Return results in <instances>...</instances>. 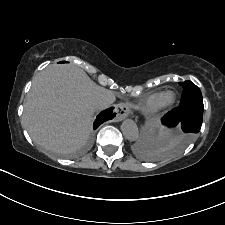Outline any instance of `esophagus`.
<instances>
[{"instance_id":"esophagus-1","label":"esophagus","mask_w":225,"mask_h":225,"mask_svg":"<svg viewBox=\"0 0 225 225\" xmlns=\"http://www.w3.org/2000/svg\"><path fill=\"white\" fill-rule=\"evenodd\" d=\"M116 112H117L116 120L121 121L129 115L130 110L127 107V105L119 103L116 105Z\"/></svg>"}]
</instances>
